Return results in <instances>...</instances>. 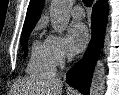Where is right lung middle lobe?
Instances as JSON below:
<instances>
[{"instance_id": "right-lung-middle-lobe-1", "label": "right lung middle lobe", "mask_w": 119, "mask_h": 95, "mask_svg": "<svg viewBox=\"0 0 119 95\" xmlns=\"http://www.w3.org/2000/svg\"><path fill=\"white\" fill-rule=\"evenodd\" d=\"M31 30L29 31H26L24 33H22V36H21V45L25 51V56H27L28 54V44H27V40H28V37H29V34H30Z\"/></svg>"}]
</instances>
